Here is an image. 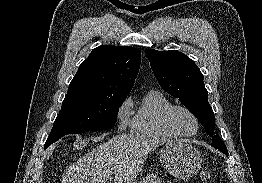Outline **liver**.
I'll return each instance as SVG.
<instances>
[{
    "mask_svg": "<svg viewBox=\"0 0 262 183\" xmlns=\"http://www.w3.org/2000/svg\"><path fill=\"white\" fill-rule=\"evenodd\" d=\"M167 140L152 135L120 134L71 164L62 183H132L147 155Z\"/></svg>",
    "mask_w": 262,
    "mask_h": 183,
    "instance_id": "obj_1",
    "label": "liver"
}]
</instances>
